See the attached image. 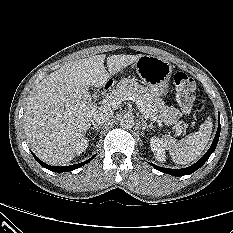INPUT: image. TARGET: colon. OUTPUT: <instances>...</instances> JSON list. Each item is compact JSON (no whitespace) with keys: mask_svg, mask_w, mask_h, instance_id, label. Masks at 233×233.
Listing matches in <instances>:
<instances>
[{"mask_svg":"<svg viewBox=\"0 0 233 233\" xmlns=\"http://www.w3.org/2000/svg\"><path fill=\"white\" fill-rule=\"evenodd\" d=\"M176 87V100L181 110L188 114L195 105V83L194 80L183 71L174 74Z\"/></svg>","mask_w":233,"mask_h":233,"instance_id":"1","label":"colon"}]
</instances>
